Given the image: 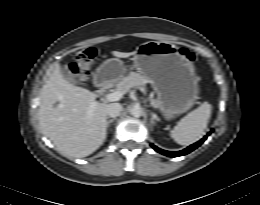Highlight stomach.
I'll use <instances>...</instances> for the list:
<instances>
[{
  "label": "stomach",
  "instance_id": "obj_1",
  "mask_svg": "<svg viewBox=\"0 0 260 205\" xmlns=\"http://www.w3.org/2000/svg\"><path fill=\"white\" fill-rule=\"evenodd\" d=\"M133 60L137 70L151 83L166 120L185 113L196 102L199 83L194 65L174 44L165 41L143 43ZM124 74L122 61L111 58L100 65L95 79L98 84L105 85L118 82Z\"/></svg>",
  "mask_w": 260,
  "mask_h": 205
}]
</instances>
